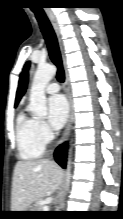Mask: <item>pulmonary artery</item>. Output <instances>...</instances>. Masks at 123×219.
Masks as SVG:
<instances>
[{
  "instance_id": "1",
  "label": "pulmonary artery",
  "mask_w": 123,
  "mask_h": 219,
  "mask_svg": "<svg viewBox=\"0 0 123 219\" xmlns=\"http://www.w3.org/2000/svg\"><path fill=\"white\" fill-rule=\"evenodd\" d=\"M60 90V86L58 83H50L46 86L45 91L49 94L57 93Z\"/></svg>"
}]
</instances>
